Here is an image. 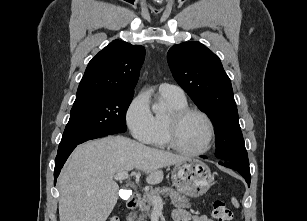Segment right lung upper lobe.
Masks as SVG:
<instances>
[{"label":"right lung upper lobe","mask_w":307,"mask_h":221,"mask_svg":"<svg viewBox=\"0 0 307 221\" xmlns=\"http://www.w3.org/2000/svg\"><path fill=\"white\" fill-rule=\"evenodd\" d=\"M144 57L143 46L112 41L89 62L75 102L105 94L134 93Z\"/></svg>","instance_id":"cb5924a9"}]
</instances>
